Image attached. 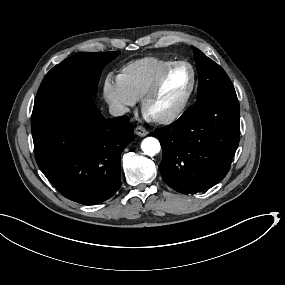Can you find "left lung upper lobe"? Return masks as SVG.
Listing matches in <instances>:
<instances>
[{
  "instance_id": "5c2ea615",
  "label": "left lung upper lobe",
  "mask_w": 285,
  "mask_h": 285,
  "mask_svg": "<svg viewBox=\"0 0 285 285\" xmlns=\"http://www.w3.org/2000/svg\"><path fill=\"white\" fill-rule=\"evenodd\" d=\"M193 49L199 76L198 100L218 94H235L234 87L224 70L200 50L195 47Z\"/></svg>"
}]
</instances>
